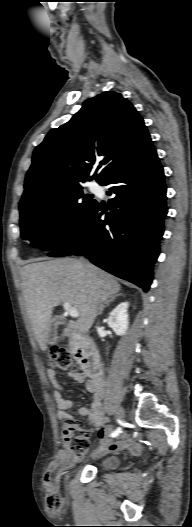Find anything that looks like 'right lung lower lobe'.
<instances>
[{"instance_id": "98d812e1", "label": "right lung lower lobe", "mask_w": 192, "mask_h": 527, "mask_svg": "<svg viewBox=\"0 0 192 527\" xmlns=\"http://www.w3.org/2000/svg\"><path fill=\"white\" fill-rule=\"evenodd\" d=\"M109 210L96 203L83 226L49 256L85 255L96 266L148 291L167 214L163 168L152 141L116 168ZM106 214L104 220L101 216Z\"/></svg>"}]
</instances>
